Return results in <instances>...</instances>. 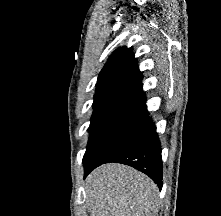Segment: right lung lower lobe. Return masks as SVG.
<instances>
[{"instance_id": "98d812e1", "label": "right lung lower lobe", "mask_w": 221, "mask_h": 216, "mask_svg": "<svg viewBox=\"0 0 221 216\" xmlns=\"http://www.w3.org/2000/svg\"><path fill=\"white\" fill-rule=\"evenodd\" d=\"M109 162L126 164L145 173L161 189L163 184L161 146L153 122L150 120L147 130L138 139L103 163ZM99 165L101 164L84 166V178Z\"/></svg>"}]
</instances>
